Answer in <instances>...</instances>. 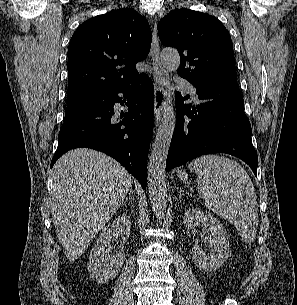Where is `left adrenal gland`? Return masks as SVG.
<instances>
[{
	"label": "left adrenal gland",
	"mask_w": 297,
	"mask_h": 305,
	"mask_svg": "<svg viewBox=\"0 0 297 305\" xmlns=\"http://www.w3.org/2000/svg\"><path fill=\"white\" fill-rule=\"evenodd\" d=\"M183 193H185V190H183L182 188H180V190H179V197H181Z\"/></svg>",
	"instance_id": "obj_1"
}]
</instances>
